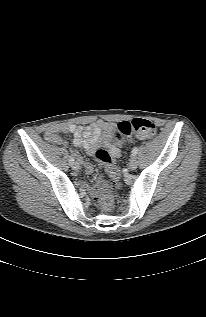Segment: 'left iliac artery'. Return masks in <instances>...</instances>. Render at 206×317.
<instances>
[{"label": "left iliac artery", "mask_w": 206, "mask_h": 317, "mask_svg": "<svg viewBox=\"0 0 206 317\" xmlns=\"http://www.w3.org/2000/svg\"><path fill=\"white\" fill-rule=\"evenodd\" d=\"M138 153V149L136 147L132 150V155L135 156Z\"/></svg>", "instance_id": "left-iliac-artery-1"}]
</instances>
